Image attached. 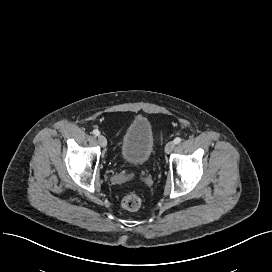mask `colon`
Returning a JSON list of instances; mask_svg holds the SVG:
<instances>
[{"label": "colon", "mask_w": 272, "mask_h": 272, "mask_svg": "<svg viewBox=\"0 0 272 272\" xmlns=\"http://www.w3.org/2000/svg\"><path fill=\"white\" fill-rule=\"evenodd\" d=\"M141 203V197L135 192L125 195L121 200L122 208L127 211H137L140 208Z\"/></svg>", "instance_id": "5ec220e1"}]
</instances>
